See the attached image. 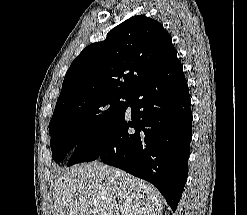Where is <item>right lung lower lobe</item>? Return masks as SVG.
Returning a JSON list of instances; mask_svg holds the SVG:
<instances>
[{"label": "right lung lower lobe", "mask_w": 247, "mask_h": 215, "mask_svg": "<svg viewBox=\"0 0 247 215\" xmlns=\"http://www.w3.org/2000/svg\"><path fill=\"white\" fill-rule=\"evenodd\" d=\"M190 95L174 50L162 67L128 97L125 111L79 143L68 166L100 159L152 183L173 211L187 180L192 137Z\"/></svg>", "instance_id": "1"}]
</instances>
